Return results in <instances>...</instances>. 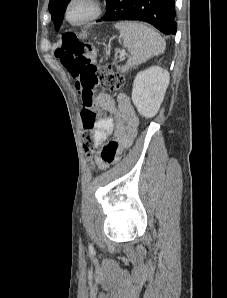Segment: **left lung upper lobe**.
Here are the masks:
<instances>
[{"label": "left lung upper lobe", "instance_id": "5c2ea615", "mask_svg": "<svg viewBox=\"0 0 227 298\" xmlns=\"http://www.w3.org/2000/svg\"><path fill=\"white\" fill-rule=\"evenodd\" d=\"M106 1L108 2L109 0ZM69 2L70 0H50L49 2V12L51 13L56 30H59L62 24L64 12Z\"/></svg>", "mask_w": 227, "mask_h": 298}]
</instances>
